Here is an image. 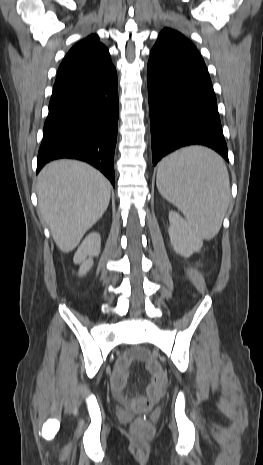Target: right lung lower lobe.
I'll return each mask as SVG.
<instances>
[{
  "label": "right lung lower lobe",
  "instance_id": "98d812e1",
  "mask_svg": "<svg viewBox=\"0 0 263 465\" xmlns=\"http://www.w3.org/2000/svg\"><path fill=\"white\" fill-rule=\"evenodd\" d=\"M118 116L114 66L101 74L55 83L37 173L51 160L78 159L99 169L114 185Z\"/></svg>",
  "mask_w": 263,
  "mask_h": 465
}]
</instances>
